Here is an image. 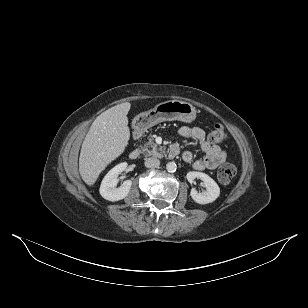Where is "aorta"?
Wrapping results in <instances>:
<instances>
[{"mask_svg":"<svg viewBox=\"0 0 308 308\" xmlns=\"http://www.w3.org/2000/svg\"><path fill=\"white\" fill-rule=\"evenodd\" d=\"M177 168V165L175 162H169L166 164V169L168 172H175Z\"/></svg>","mask_w":308,"mask_h":308,"instance_id":"1","label":"aorta"}]
</instances>
